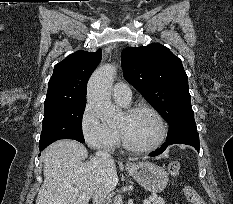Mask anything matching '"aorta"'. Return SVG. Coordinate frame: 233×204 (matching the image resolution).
I'll return each mask as SVG.
<instances>
[{
    "instance_id": "762f6f07",
    "label": "aorta",
    "mask_w": 233,
    "mask_h": 204,
    "mask_svg": "<svg viewBox=\"0 0 233 204\" xmlns=\"http://www.w3.org/2000/svg\"><path fill=\"white\" fill-rule=\"evenodd\" d=\"M115 76L116 67L105 64L95 70L87 85L88 104L107 123L115 121L120 115V109L111 101V87Z\"/></svg>"
}]
</instances>
